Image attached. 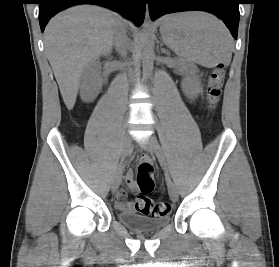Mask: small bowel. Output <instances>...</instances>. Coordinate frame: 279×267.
Returning <instances> with one entry per match:
<instances>
[{
    "label": "small bowel",
    "instance_id": "obj_1",
    "mask_svg": "<svg viewBox=\"0 0 279 267\" xmlns=\"http://www.w3.org/2000/svg\"><path fill=\"white\" fill-rule=\"evenodd\" d=\"M126 184L130 190L136 189V184L133 180V176L131 173L126 176ZM115 207L120 211H132L134 208L133 203L127 202L123 199L122 194L117 193L115 196Z\"/></svg>",
    "mask_w": 279,
    "mask_h": 267
}]
</instances>
